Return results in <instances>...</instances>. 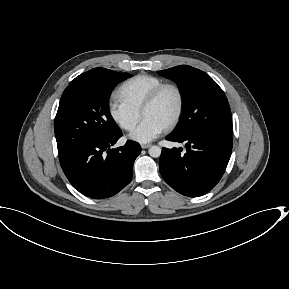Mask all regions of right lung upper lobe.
<instances>
[{"label": "right lung upper lobe", "instance_id": "1", "mask_svg": "<svg viewBox=\"0 0 289 289\" xmlns=\"http://www.w3.org/2000/svg\"><path fill=\"white\" fill-rule=\"evenodd\" d=\"M113 71L105 68H94L90 71H87L74 80H98L110 75Z\"/></svg>", "mask_w": 289, "mask_h": 289}]
</instances>
